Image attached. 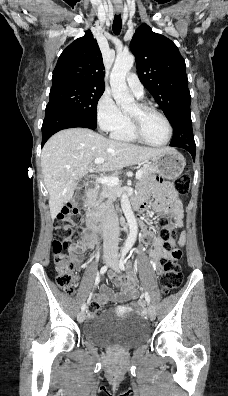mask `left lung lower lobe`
<instances>
[{"label": "left lung lower lobe", "mask_w": 228, "mask_h": 396, "mask_svg": "<svg viewBox=\"0 0 228 396\" xmlns=\"http://www.w3.org/2000/svg\"><path fill=\"white\" fill-rule=\"evenodd\" d=\"M173 126V137L170 146L180 147L189 151L195 161L196 145L192 131V120L190 109H183L180 114V121Z\"/></svg>", "instance_id": "obj_1"}]
</instances>
